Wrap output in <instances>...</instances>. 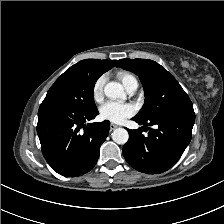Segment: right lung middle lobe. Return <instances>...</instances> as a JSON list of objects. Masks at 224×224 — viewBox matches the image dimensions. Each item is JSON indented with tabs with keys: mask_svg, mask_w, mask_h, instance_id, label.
Listing matches in <instances>:
<instances>
[{
	"mask_svg": "<svg viewBox=\"0 0 224 224\" xmlns=\"http://www.w3.org/2000/svg\"><path fill=\"white\" fill-rule=\"evenodd\" d=\"M103 73L80 61L66 70L51 86L44 101H53L82 112L97 110L93 91Z\"/></svg>",
	"mask_w": 224,
	"mask_h": 224,
	"instance_id": "1",
	"label": "right lung middle lobe"
}]
</instances>
